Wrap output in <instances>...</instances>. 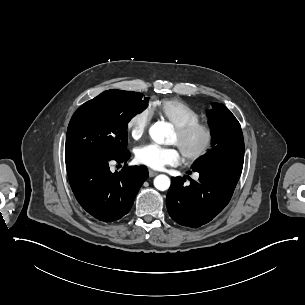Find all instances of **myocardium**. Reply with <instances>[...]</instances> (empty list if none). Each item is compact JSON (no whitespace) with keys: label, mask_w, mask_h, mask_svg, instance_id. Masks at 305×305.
Returning <instances> with one entry per match:
<instances>
[{"label":"myocardium","mask_w":305,"mask_h":305,"mask_svg":"<svg viewBox=\"0 0 305 305\" xmlns=\"http://www.w3.org/2000/svg\"><path fill=\"white\" fill-rule=\"evenodd\" d=\"M175 130L180 138L189 137L197 131H201L205 135L204 142L198 149L193 152L181 153L187 162L192 163L202 160L209 154L215 144V129L209 123L198 121L185 125H177Z\"/></svg>","instance_id":"1"}]
</instances>
